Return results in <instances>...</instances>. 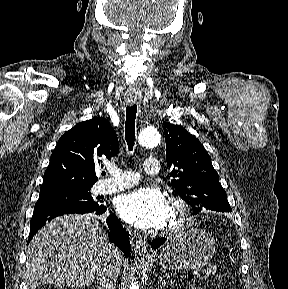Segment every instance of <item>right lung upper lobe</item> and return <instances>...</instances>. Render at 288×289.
Segmentation results:
<instances>
[{"label": "right lung upper lobe", "mask_w": 288, "mask_h": 289, "mask_svg": "<svg viewBox=\"0 0 288 289\" xmlns=\"http://www.w3.org/2000/svg\"><path fill=\"white\" fill-rule=\"evenodd\" d=\"M118 138L104 117L78 123L58 141L41 189L87 188L97 181L95 167L117 155Z\"/></svg>", "instance_id": "cb5924a9"}]
</instances>
